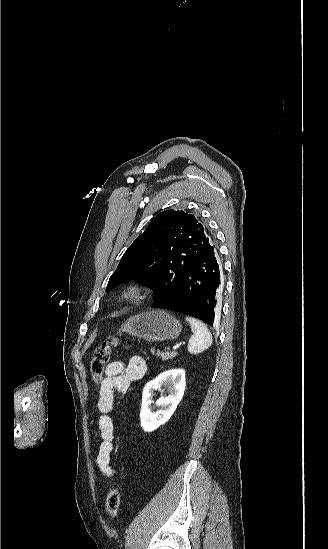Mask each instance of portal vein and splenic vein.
<instances>
[{"label":"portal vein and splenic vein","instance_id":"obj_1","mask_svg":"<svg viewBox=\"0 0 328 549\" xmlns=\"http://www.w3.org/2000/svg\"><path fill=\"white\" fill-rule=\"evenodd\" d=\"M180 345H181V343H180ZM180 345H176V347L172 346L173 351H176V349H178V347H180Z\"/></svg>","mask_w":328,"mask_h":549}]
</instances>
